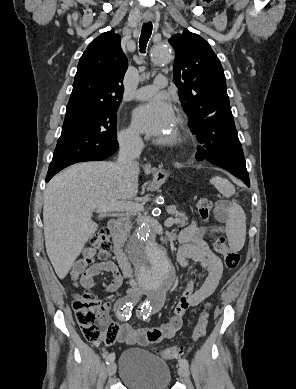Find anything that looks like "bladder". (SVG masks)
<instances>
[{
    "instance_id": "obj_1",
    "label": "bladder",
    "mask_w": 296,
    "mask_h": 389,
    "mask_svg": "<svg viewBox=\"0 0 296 389\" xmlns=\"http://www.w3.org/2000/svg\"><path fill=\"white\" fill-rule=\"evenodd\" d=\"M119 376L128 389H169L171 383L168 364L139 348H130L121 354Z\"/></svg>"
}]
</instances>
